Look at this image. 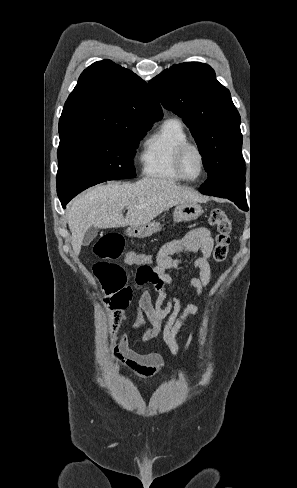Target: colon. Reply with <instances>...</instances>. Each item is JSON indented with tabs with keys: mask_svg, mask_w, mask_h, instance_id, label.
Wrapping results in <instances>:
<instances>
[{
	"mask_svg": "<svg viewBox=\"0 0 297 488\" xmlns=\"http://www.w3.org/2000/svg\"><path fill=\"white\" fill-rule=\"evenodd\" d=\"M209 223L216 229L213 260L223 262L228 254L231 243L232 220L220 210L213 209L209 216ZM95 254L101 259L93 266V271L100 281L106 294L105 302L109 310L110 327L117 331L124 309L132 297L133 286L128 283L125 269L114 260L123 252V239L117 233H107L100 237L94 247ZM126 256V254H125ZM133 277L135 287L144 285L151 270L152 256L145 254Z\"/></svg>",
	"mask_w": 297,
	"mask_h": 488,
	"instance_id": "colon-1",
	"label": "colon"
}]
</instances>
